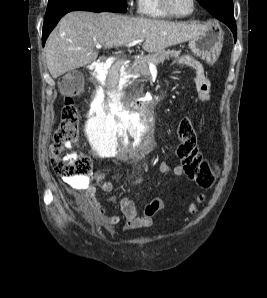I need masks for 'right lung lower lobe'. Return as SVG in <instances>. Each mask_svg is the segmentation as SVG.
Returning a JSON list of instances; mask_svg holds the SVG:
<instances>
[{
    "label": "right lung lower lobe",
    "instance_id": "98d812e1",
    "mask_svg": "<svg viewBox=\"0 0 267 298\" xmlns=\"http://www.w3.org/2000/svg\"><path fill=\"white\" fill-rule=\"evenodd\" d=\"M75 10H83V11H92V12H102V10L87 6V5H75L68 7L58 13H56L52 18L48 20H44L43 24V36L42 41L43 45L45 44V41L49 35V33L53 30V28L56 26L58 21L68 12L75 11Z\"/></svg>",
    "mask_w": 267,
    "mask_h": 298
}]
</instances>
